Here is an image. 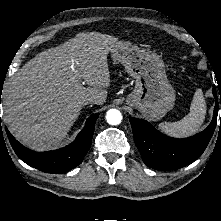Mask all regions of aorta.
Listing matches in <instances>:
<instances>
[{"label":"aorta","instance_id":"762f6f07","mask_svg":"<svg viewBox=\"0 0 221 221\" xmlns=\"http://www.w3.org/2000/svg\"><path fill=\"white\" fill-rule=\"evenodd\" d=\"M106 120L110 125H118L122 121V114L117 109H110L106 113Z\"/></svg>","mask_w":221,"mask_h":221}]
</instances>
